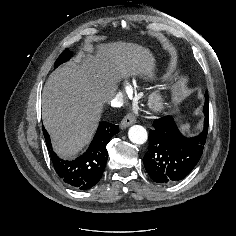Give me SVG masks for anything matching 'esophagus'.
I'll list each match as a JSON object with an SVG mask.
<instances>
[{
  "label": "esophagus",
  "mask_w": 236,
  "mask_h": 236,
  "mask_svg": "<svg viewBox=\"0 0 236 236\" xmlns=\"http://www.w3.org/2000/svg\"><path fill=\"white\" fill-rule=\"evenodd\" d=\"M136 122V118L133 114H127L121 121L120 127L122 129L127 128L128 126L134 124Z\"/></svg>",
  "instance_id": "obj_1"
}]
</instances>
